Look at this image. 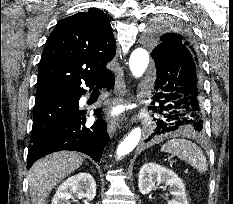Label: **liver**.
<instances>
[{
  "instance_id": "obj_1",
  "label": "liver",
  "mask_w": 233,
  "mask_h": 204,
  "mask_svg": "<svg viewBox=\"0 0 233 204\" xmlns=\"http://www.w3.org/2000/svg\"><path fill=\"white\" fill-rule=\"evenodd\" d=\"M83 163L76 152L60 151L34 163L29 171V193L32 204H46L52 189Z\"/></svg>"
}]
</instances>
